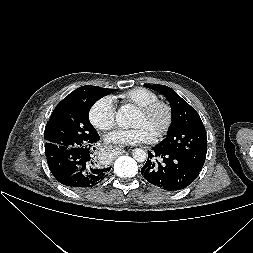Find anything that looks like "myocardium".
I'll list each match as a JSON object with an SVG mask.
<instances>
[{
	"label": "myocardium",
	"mask_w": 253,
	"mask_h": 253,
	"mask_svg": "<svg viewBox=\"0 0 253 253\" xmlns=\"http://www.w3.org/2000/svg\"><path fill=\"white\" fill-rule=\"evenodd\" d=\"M157 109H163L166 113V121L164 126L162 127V129L155 135V139L159 140L162 139L164 136H166L168 134V132L170 131L173 122H174V111L172 106L164 101H154L151 102L149 104L137 107V111L142 113V114H150L153 111L157 110Z\"/></svg>",
	"instance_id": "f54148a6"
}]
</instances>
